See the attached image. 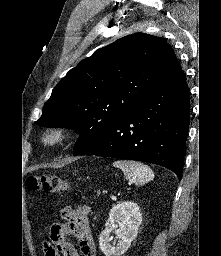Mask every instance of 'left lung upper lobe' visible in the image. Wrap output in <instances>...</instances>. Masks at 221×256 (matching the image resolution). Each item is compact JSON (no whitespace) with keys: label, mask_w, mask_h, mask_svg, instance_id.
<instances>
[{"label":"left lung upper lobe","mask_w":221,"mask_h":256,"mask_svg":"<svg viewBox=\"0 0 221 256\" xmlns=\"http://www.w3.org/2000/svg\"><path fill=\"white\" fill-rule=\"evenodd\" d=\"M180 70L164 39L143 33L125 36L71 69L53 89L36 124L80 133L76 151Z\"/></svg>","instance_id":"obj_1"}]
</instances>
